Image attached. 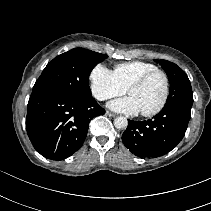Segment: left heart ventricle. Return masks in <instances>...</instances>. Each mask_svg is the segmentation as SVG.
<instances>
[{
    "label": "left heart ventricle",
    "mask_w": 211,
    "mask_h": 211,
    "mask_svg": "<svg viewBox=\"0 0 211 211\" xmlns=\"http://www.w3.org/2000/svg\"><path fill=\"white\" fill-rule=\"evenodd\" d=\"M165 92V81L162 75H154L143 86L133 89L129 96H131L140 112L151 111L156 108Z\"/></svg>",
    "instance_id": "1"
}]
</instances>
